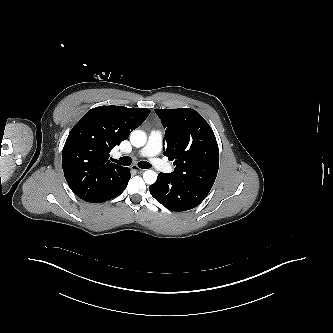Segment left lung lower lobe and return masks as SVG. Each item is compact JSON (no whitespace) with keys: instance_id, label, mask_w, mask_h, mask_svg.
Returning <instances> with one entry per match:
<instances>
[{"instance_id":"1","label":"left lung lower lobe","mask_w":333,"mask_h":333,"mask_svg":"<svg viewBox=\"0 0 333 333\" xmlns=\"http://www.w3.org/2000/svg\"><path fill=\"white\" fill-rule=\"evenodd\" d=\"M151 195L172 211H187L198 206L211 188L174 178L170 173H160L149 187Z\"/></svg>"}]
</instances>
